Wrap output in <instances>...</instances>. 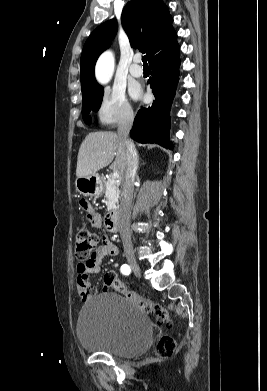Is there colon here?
Wrapping results in <instances>:
<instances>
[{
	"label": "colon",
	"instance_id": "1",
	"mask_svg": "<svg viewBox=\"0 0 267 391\" xmlns=\"http://www.w3.org/2000/svg\"><path fill=\"white\" fill-rule=\"evenodd\" d=\"M99 243L100 239L96 233L90 231L86 227H81L75 235L76 258L80 262H87L98 248ZM106 279L110 288L136 303L145 312L155 314L159 322L165 323L169 321V314L165 308L156 302L142 298L135 292L129 291L115 273H107ZM175 349L176 342L168 335L163 336L157 344V353L161 357L173 355Z\"/></svg>",
	"mask_w": 267,
	"mask_h": 391
}]
</instances>
